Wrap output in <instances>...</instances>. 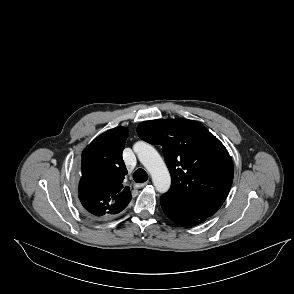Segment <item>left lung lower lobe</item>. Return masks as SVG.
Wrapping results in <instances>:
<instances>
[{"mask_svg": "<svg viewBox=\"0 0 294 294\" xmlns=\"http://www.w3.org/2000/svg\"><path fill=\"white\" fill-rule=\"evenodd\" d=\"M160 202L165 215L182 226L198 225L203 223L207 218L185 206L171 203L163 196L160 198Z\"/></svg>", "mask_w": 294, "mask_h": 294, "instance_id": "left-lung-lower-lobe-1", "label": "left lung lower lobe"}]
</instances>
